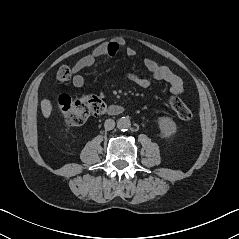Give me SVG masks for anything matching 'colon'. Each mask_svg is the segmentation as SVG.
Returning <instances> with one entry per match:
<instances>
[{
    "label": "colon",
    "mask_w": 239,
    "mask_h": 239,
    "mask_svg": "<svg viewBox=\"0 0 239 239\" xmlns=\"http://www.w3.org/2000/svg\"><path fill=\"white\" fill-rule=\"evenodd\" d=\"M71 75L72 70L68 66H61L57 72V78L62 81L68 80ZM169 104L181 120L189 121L192 118L191 111L180 98L172 96L169 99ZM57 105L69 126H80L91 115L99 114L105 109L104 103L96 95L73 98L62 94L58 97Z\"/></svg>",
    "instance_id": "obj_1"
}]
</instances>
